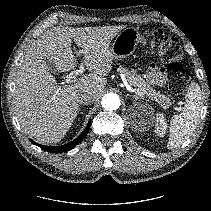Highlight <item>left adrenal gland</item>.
Returning <instances> with one entry per match:
<instances>
[{
	"mask_svg": "<svg viewBox=\"0 0 211 211\" xmlns=\"http://www.w3.org/2000/svg\"><path fill=\"white\" fill-rule=\"evenodd\" d=\"M133 98L136 100L137 99V97L136 96H133Z\"/></svg>",
	"mask_w": 211,
	"mask_h": 211,
	"instance_id": "1",
	"label": "left adrenal gland"
}]
</instances>
